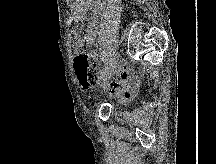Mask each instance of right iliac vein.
Wrapping results in <instances>:
<instances>
[{"mask_svg": "<svg viewBox=\"0 0 216 164\" xmlns=\"http://www.w3.org/2000/svg\"><path fill=\"white\" fill-rule=\"evenodd\" d=\"M113 69H108L106 76L103 77V86L111 79V77L115 74L116 71L120 69L119 67V56L116 54L113 58Z\"/></svg>", "mask_w": 216, "mask_h": 164, "instance_id": "obj_1", "label": "right iliac vein"}]
</instances>
